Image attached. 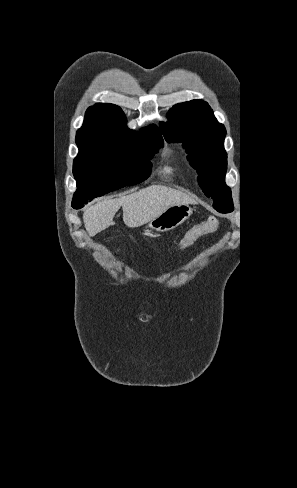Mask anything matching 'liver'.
Listing matches in <instances>:
<instances>
[{"label":"liver","instance_id":"obj_1","mask_svg":"<svg viewBox=\"0 0 297 488\" xmlns=\"http://www.w3.org/2000/svg\"><path fill=\"white\" fill-rule=\"evenodd\" d=\"M193 202L189 195L161 185L148 186L138 192L97 202L83 213L84 226L90 236L114 225L113 218L120 207L124 223L131 228L142 226L176 204Z\"/></svg>","mask_w":297,"mask_h":488}]
</instances>
